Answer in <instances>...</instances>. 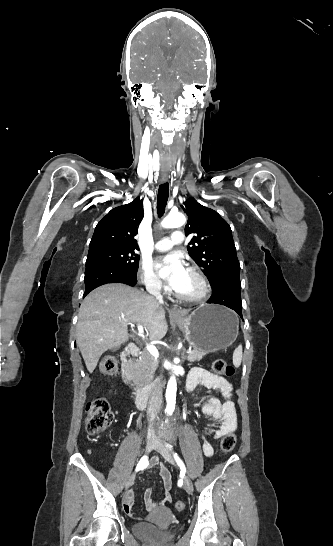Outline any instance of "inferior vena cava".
<instances>
[{
    "instance_id": "obj_1",
    "label": "inferior vena cava",
    "mask_w": 333,
    "mask_h": 546,
    "mask_svg": "<svg viewBox=\"0 0 333 546\" xmlns=\"http://www.w3.org/2000/svg\"><path fill=\"white\" fill-rule=\"evenodd\" d=\"M146 289L151 295H153L156 298V300H158L159 303H163V297L160 292L161 291L160 280L152 279L146 285ZM161 403H162V395H161L160 386L158 385L152 392V395L149 400L148 410H147L149 429L151 431L154 429V422L161 408Z\"/></svg>"
}]
</instances>
